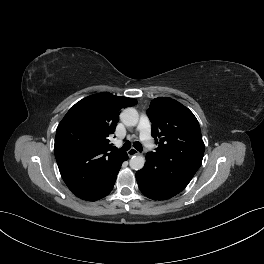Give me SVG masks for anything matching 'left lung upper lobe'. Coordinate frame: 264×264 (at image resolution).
I'll return each mask as SVG.
<instances>
[{
    "label": "left lung upper lobe",
    "instance_id": "left-lung-upper-lobe-1",
    "mask_svg": "<svg viewBox=\"0 0 264 264\" xmlns=\"http://www.w3.org/2000/svg\"><path fill=\"white\" fill-rule=\"evenodd\" d=\"M152 136L158 147L147 156L158 160L162 169L179 171L190 179L202 164L205 150L194 114L176 100L158 97L147 111Z\"/></svg>",
    "mask_w": 264,
    "mask_h": 264
}]
</instances>
